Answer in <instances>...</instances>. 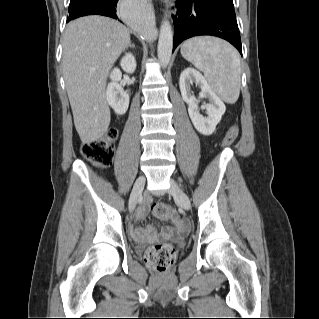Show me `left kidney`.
Masks as SVG:
<instances>
[{
  "label": "left kidney",
  "instance_id": "left-kidney-1",
  "mask_svg": "<svg viewBox=\"0 0 319 319\" xmlns=\"http://www.w3.org/2000/svg\"><path fill=\"white\" fill-rule=\"evenodd\" d=\"M193 82L201 88L200 95L209 98L210 103L203 105L207 114L205 117L200 114L198 103L191 91ZM179 86L182 98L188 104V113L194 127L203 135H211L225 113V104L211 89L203 75L191 67L181 73Z\"/></svg>",
  "mask_w": 319,
  "mask_h": 319
}]
</instances>
